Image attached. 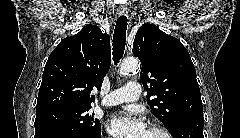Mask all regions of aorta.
I'll return each instance as SVG.
<instances>
[{
  "mask_svg": "<svg viewBox=\"0 0 240 138\" xmlns=\"http://www.w3.org/2000/svg\"><path fill=\"white\" fill-rule=\"evenodd\" d=\"M140 62L135 58H127L125 59L119 69V74L122 76H127L132 72H135L139 69Z\"/></svg>",
  "mask_w": 240,
  "mask_h": 138,
  "instance_id": "1",
  "label": "aorta"
}]
</instances>
